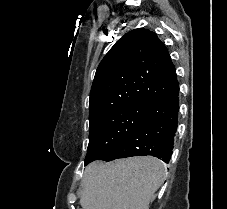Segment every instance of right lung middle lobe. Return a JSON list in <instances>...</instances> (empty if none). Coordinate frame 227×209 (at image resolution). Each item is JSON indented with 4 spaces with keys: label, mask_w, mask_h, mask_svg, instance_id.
Returning <instances> with one entry per match:
<instances>
[{
    "label": "right lung middle lobe",
    "mask_w": 227,
    "mask_h": 209,
    "mask_svg": "<svg viewBox=\"0 0 227 209\" xmlns=\"http://www.w3.org/2000/svg\"><path fill=\"white\" fill-rule=\"evenodd\" d=\"M102 111L89 118V145L85 165L101 160L142 122L148 104L126 98L101 102Z\"/></svg>",
    "instance_id": "1"
}]
</instances>
